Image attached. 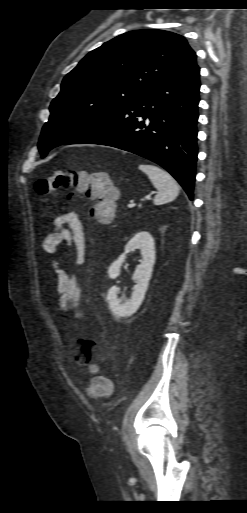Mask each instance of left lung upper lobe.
Returning <instances> with one entry per match:
<instances>
[{"instance_id":"1","label":"left lung upper lobe","mask_w":247,"mask_h":513,"mask_svg":"<svg viewBox=\"0 0 247 513\" xmlns=\"http://www.w3.org/2000/svg\"><path fill=\"white\" fill-rule=\"evenodd\" d=\"M195 56L184 37L157 29L127 32L91 51L50 105L38 143L42 157L168 81Z\"/></svg>"}]
</instances>
